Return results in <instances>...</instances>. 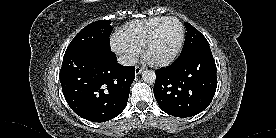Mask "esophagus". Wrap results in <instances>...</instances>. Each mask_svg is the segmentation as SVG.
<instances>
[{
	"instance_id": "esophagus-1",
	"label": "esophagus",
	"mask_w": 276,
	"mask_h": 138,
	"mask_svg": "<svg viewBox=\"0 0 276 138\" xmlns=\"http://www.w3.org/2000/svg\"><path fill=\"white\" fill-rule=\"evenodd\" d=\"M143 68L141 66H136L135 67V74L138 75L142 72Z\"/></svg>"
}]
</instances>
